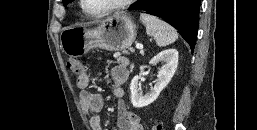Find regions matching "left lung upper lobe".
I'll list each match as a JSON object with an SVG mask.
<instances>
[{
  "instance_id": "5c2ea615",
  "label": "left lung upper lobe",
  "mask_w": 257,
  "mask_h": 130,
  "mask_svg": "<svg viewBox=\"0 0 257 130\" xmlns=\"http://www.w3.org/2000/svg\"><path fill=\"white\" fill-rule=\"evenodd\" d=\"M70 1H71V0H63L64 6H67ZM140 1H141V0H138V1L135 2L134 4H136V3L140 2Z\"/></svg>"
}]
</instances>
